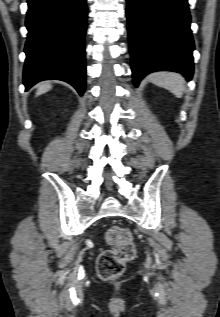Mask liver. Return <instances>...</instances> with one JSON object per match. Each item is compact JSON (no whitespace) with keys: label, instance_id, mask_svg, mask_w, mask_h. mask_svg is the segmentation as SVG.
<instances>
[{"label":"liver","instance_id":"obj_1","mask_svg":"<svg viewBox=\"0 0 220 317\" xmlns=\"http://www.w3.org/2000/svg\"><path fill=\"white\" fill-rule=\"evenodd\" d=\"M52 88V86L49 83H41L38 85V89L36 92V95H41L47 91H49Z\"/></svg>","mask_w":220,"mask_h":317}]
</instances>
